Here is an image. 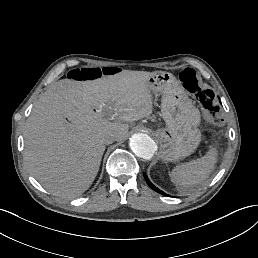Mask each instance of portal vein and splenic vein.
<instances>
[{
	"mask_svg": "<svg viewBox=\"0 0 258 258\" xmlns=\"http://www.w3.org/2000/svg\"><path fill=\"white\" fill-rule=\"evenodd\" d=\"M105 106V105H104ZM117 116V112H113V114L111 115V118L110 119H114L115 117Z\"/></svg>",
	"mask_w": 258,
	"mask_h": 258,
	"instance_id": "portal-vein-and-splenic-vein-1",
	"label": "portal vein and splenic vein"
}]
</instances>
